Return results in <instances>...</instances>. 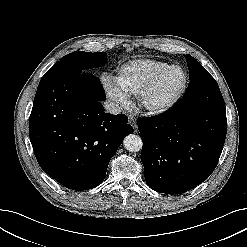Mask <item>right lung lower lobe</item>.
Masks as SVG:
<instances>
[{
    "label": "right lung lower lobe",
    "mask_w": 247,
    "mask_h": 247,
    "mask_svg": "<svg viewBox=\"0 0 247 247\" xmlns=\"http://www.w3.org/2000/svg\"><path fill=\"white\" fill-rule=\"evenodd\" d=\"M100 81L70 70L42 77L29 120L31 144L40 167L73 190L104 179L110 159L133 133L124 114L105 113Z\"/></svg>",
    "instance_id": "1"
}]
</instances>
